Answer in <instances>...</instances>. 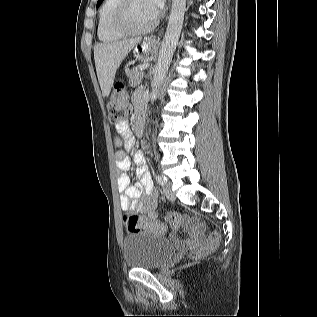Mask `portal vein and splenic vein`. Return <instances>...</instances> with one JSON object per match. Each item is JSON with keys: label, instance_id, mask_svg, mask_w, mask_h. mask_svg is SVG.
<instances>
[{"label": "portal vein and splenic vein", "instance_id": "1", "mask_svg": "<svg viewBox=\"0 0 317 317\" xmlns=\"http://www.w3.org/2000/svg\"><path fill=\"white\" fill-rule=\"evenodd\" d=\"M148 65H149L148 63H143L142 65L139 66V69L144 70L148 67Z\"/></svg>", "mask_w": 317, "mask_h": 317}]
</instances>
